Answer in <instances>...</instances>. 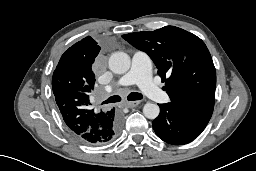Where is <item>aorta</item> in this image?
<instances>
[{
	"label": "aorta",
	"instance_id": "obj_1",
	"mask_svg": "<svg viewBox=\"0 0 256 171\" xmlns=\"http://www.w3.org/2000/svg\"><path fill=\"white\" fill-rule=\"evenodd\" d=\"M131 65V60L128 54L124 52H115L109 58V68L116 74L126 73ZM160 108L157 104L146 103L143 107V113L148 119H155L158 117Z\"/></svg>",
	"mask_w": 256,
	"mask_h": 171
}]
</instances>
